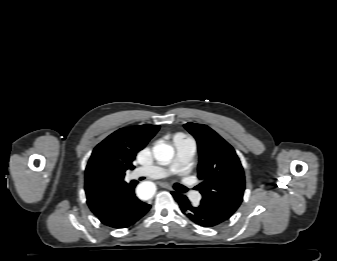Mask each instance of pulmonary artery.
Instances as JSON below:
<instances>
[{
  "label": "pulmonary artery",
  "instance_id": "pulmonary-artery-1",
  "mask_svg": "<svg viewBox=\"0 0 337 261\" xmlns=\"http://www.w3.org/2000/svg\"><path fill=\"white\" fill-rule=\"evenodd\" d=\"M177 150V158L171 164L168 170L160 167V166H148V167H140L134 171L135 176H146L149 178H162L167 175L168 171H178L180 170L186 163H188L194 156L196 145L195 142L191 139L180 141L175 143ZM190 196L193 201L197 202L200 199V194L196 191L190 192Z\"/></svg>",
  "mask_w": 337,
  "mask_h": 261
}]
</instances>
